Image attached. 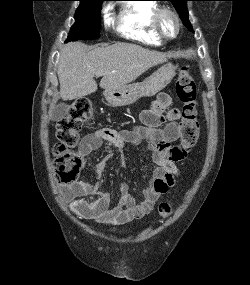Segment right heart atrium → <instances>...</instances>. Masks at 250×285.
Wrapping results in <instances>:
<instances>
[{"label":"right heart atrium","mask_w":250,"mask_h":285,"mask_svg":"<svg viewBox=\"0 0 250 285\" xmlns=\"http://www.w3.org/2000/svg\"><path fill=\"white\" fill-rule=\"evenodd\" d=\"M104 21L106 25H111V23L113 22V13L110 8L104 11Z\"/></svg>","instance_id":"1"}]
</instances>
